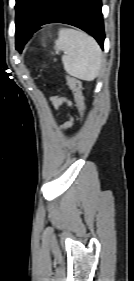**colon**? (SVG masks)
Wrapping results in <instances>:
<instances>
[{"label": "colon", "instance_id": "1", "mask_svg": "<svg viewBox=\"0 0 134 281\" xmlns=\"http://www.w3.org/2000/svg\"><path fill=\"white\" fill-rule=\"evenodd\" d=\"M66 81L74 95V99H75L78 111H79L81 117H83L84 112H85V102H84V96H83V92H82L81 83L78 79H76L72 76H69V75H66Z\"/></svg>", "mask_w": 134, "mask_h": 281}]
</instances>
